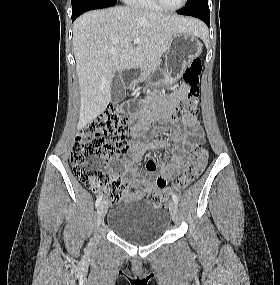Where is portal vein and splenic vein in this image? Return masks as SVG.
Wrapping results in <instances>:
<instances>
[{"instance_id":"portal-vein-and-splenic-vein-1","label":"portal vein and splenic vein","mask_w":280,"mask_h":285,"mask_svg":"<svg viewBox=\"0 0 280 285\" xmlns=\"http://www.w3.org/2000/svg\"><path fill=\"white\" fill-rule=\"evenodd\" d=\"M133 43H134V44L140 43V39H139V38H134V39H133Z\"/></svg>"}]
</instances>
